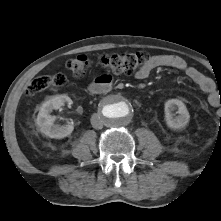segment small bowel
<instances>
[{
    "instance_id": "small-bowel-1",
    "label": "small bowel",
    "mask_w": 221,
    "mask_h": 221,
    "mask_svg": "<svg viewBox=\"0 0 221 221\" xmlns=\"http://www.w3.org/2000/svg\"><path fill=\"white\" fill-rule=\"evenodd\" d=\"M158 67H166L183 71L206 95L208 102L217 107L221 104V96L216 92L212 79L204 75L197 68L189 66L184 59L175 55H154L137 71V79L147 78Z\"/></svg>"
}]
</instances>
